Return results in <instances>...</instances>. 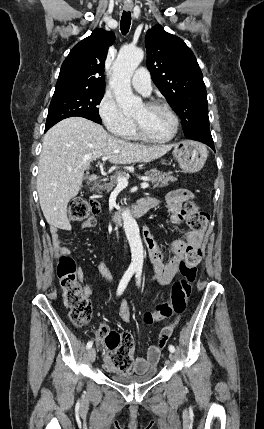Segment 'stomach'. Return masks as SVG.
<instances>
[{
  "instance_id": "obj_1",
  "label": "stomach",
  "mask_w": 264,
  "mask_h": 429,
  "mask_svg": "<svg viewBox=\"0 0 264 429\" xmlns=\"http://www.w3.org/2000/svg\"><path fill=\"white\" fill-rule=\"evenodd\" d=\"M173 156L183 172L194 173L204 166L208 151L202 143L182 141L174 145Z\"/></svg>"
}]
</instances>
